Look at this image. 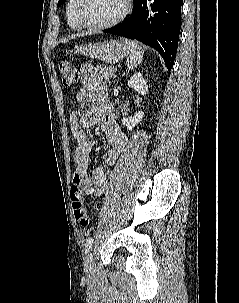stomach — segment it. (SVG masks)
Listing matches in <instances>:
<instances>
[{"label": "stomach", "mask_w": 239, "mask_h": 303, "mask_svg": "<svg viewBox=\"0 0 239 303\" xmlns=\"http://www.w3.org/2000/svg\"><path fill=\"white\" fill-rule=\"evenodd\" d=\"M76 52L107 63H116L127 55L126 47L114 40L84 44Z\"/></svg>", "instance_id": "stomach-1"}]
</instances>
